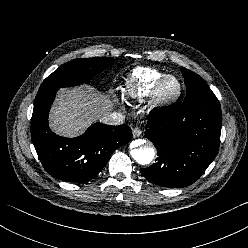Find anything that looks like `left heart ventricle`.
<instances>
[{
	"instance_id": "left-heart-ventricle-1",
	"label": "left heart ventricle",
	"mask_w": 248,
	"mask_h": 248,
	"mask_svg": "<svg viewBox=\"0 0 248 248\" xmlns=\"http://www.w3.org/2000/svg\"><path fill=\"white\" fill-rule=\"evenodd\" d=\"M177 82L175 80H169L163 89V93L166 96H171L177 91Z\"/></svg>"
}]
</instances>
